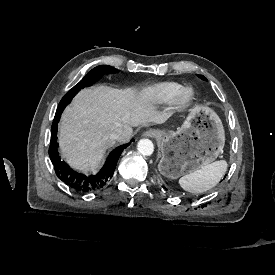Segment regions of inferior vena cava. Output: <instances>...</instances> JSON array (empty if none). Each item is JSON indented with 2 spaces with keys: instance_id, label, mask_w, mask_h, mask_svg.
<instances>
[{
  "instance_id": "1",
  "label": "inferior vena cava",
  "mask_w": 275,
  "mask_h": 275,
  "mask_svg": "<svg viewBox=\"0 0 275 275\" xmlns=\"http://www.w3.org/2000/svg\"><path fill=\"white\" fill-rule=\"evenodd\" d=\"M123 133V129L122 128H118L112 132H110L108 134V137L111 139V140H115V139H118Z\"/></svg>"
}]
</instances>
